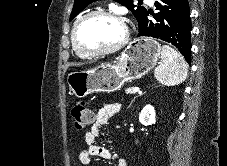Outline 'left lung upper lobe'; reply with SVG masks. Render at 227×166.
Returning <instances> with one entry per match:
<instances>
[{
    "mask_svg": "<svg viewBox=\"0 0 227 166\" xmlns=\"http://www.w3.org/2000/svg\"><path fill=\"white\" fill-rule=\"evenodd\" d=\"M96 0H75L74 7L72 9L71 15H70V21L74 19L84 8H86L91 2H94ZM125 6H127L128 9L132 11L134 16L136 17L138 24L140 25L143 21L145 14L147 10L143 6L136 7L133 4L132 0H115Z\"/></svg>",
    "mask_w": 227,
    "mask_h": 166,
    "instance_id": "5c2ea615",
    "label": "left lung upper lobe"
}]
</instances>
